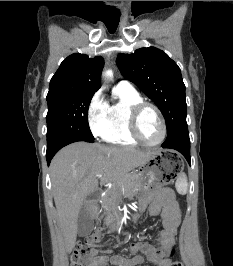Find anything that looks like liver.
Wrapping results in <instances>:
<instances>
[{
	"label": "liver",
	"instance_id": "obj_1",
	"mask_svg": "<svg viewBox=\"0 0 233 266\" xmlns=\"http://www.w3.org/2000/svg\"><path fill=\"white\" fill-rule=\"evenodd\" d=\"M131 147L76 142L61 149L50 164V177L58 225L65 250L71 252L77 238V219L87 196L103 184L118 183L155 154Z\"/></svg>",
	"mask_w": 233,
	"mask_h": 266
}]
</instances>
